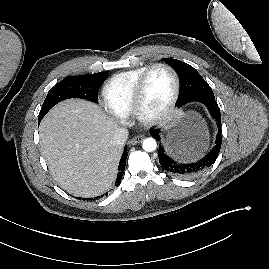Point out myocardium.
Here are the masks:
<instances>
[{
  "label": "myocardium",
  "mask_w": 269,
  "mask_h": 269,
  "mask_svg": "<svg viewBox=\"0 0 269 269\" xmlns=\"http://www.w3.org/2000/svg\"><path fill=\"white\" fill-rule=\"evenodd\" d=\"M156 68H164L171 73L173 77V81H174V88H173V93L171 95V98L169 99L166 106L158 113L148 114L145 112V109H144L145 86H146L148 76ZM180 87H181V83H180L179 75L177 74L175 69L171 67L170 65L166 63H155L148 66V68L140 76L134 90L133 102H132L133 115L144 125H153V124L163 121L171 114V112L175 108L179 95H180Z\"/></svg>",
  "instance_id": "myocardium-1"
}]
</instances>
